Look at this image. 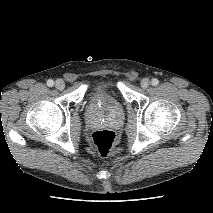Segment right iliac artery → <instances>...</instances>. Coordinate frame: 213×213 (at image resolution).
Wrapping results in <instances>:
<instances>
[{
	"instance_id": "obj_1",
	"label": "right iliac artery",
	"mask_w": 213,
	"mask_h": 213,
	"mask_svg": "<svg viewBox=\"0 0 213 213\" xmlns=\"http://www.w3.org/2000/svg\"><path fill=\"white\" fill-rule=\"evenodd\" d=\"M53 85H54V81L51 80V79H49V80L47 81V86L52 87Z\"/></svg>"
}]
</instances>
